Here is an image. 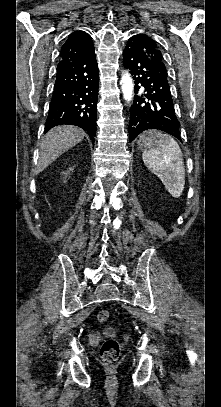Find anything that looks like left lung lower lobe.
Here are the masks:
<instances>
[{"mask_svg":"<svg viewBox=\"0 0 221 407\" xmlns=\"http://www.w3.org/2000/svg\"><path fill=\"white\" fill-rule=\"evenodd\" d=\"M123 57L124 67L130 69L135 80L129 140L133 141L144 130L157 129L181 141L167 71L149 58L135 35L128 40Z\"/></svg>","mask_w":221,"mask_h":407,"instance_id":"left-lung-lower-lobe-1","label":"left lung lower lobe"}]
</instances>
